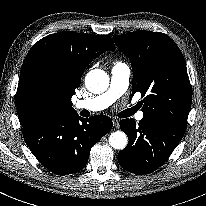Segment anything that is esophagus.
I'll return each mask as SVG.
<instances>
[{"mask_svg": "<svg viewBox=\"0 0 206 206\" xmlns=\"http://www.w3.org/2000/svg\"><path fill=\"white\" fill-rule=\"evenodd\" d=\"M113 125L115 128H119V121L117 119H113Z\"/></svg>", "mask_w": 206, "mask_h": 206, "instance_id": "esophagus-1", "label": "esophagus"}]
</instances>
